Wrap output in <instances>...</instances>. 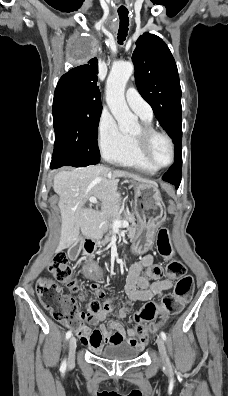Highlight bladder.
Instances as JSON below:
<instances>
[{
  "label": "bladder",
  "instance_id": "bladder-1",
  "mask_svg": "<svg viewBox=\"0 0 228 396\" xmlns=\"http://www.w3.org/2000/svg\"><path fill=\"white\" fill-rule=\"evenodd\" d=\"M141 349L129 342L110 343L96 352V355L113 361H129L136 359Z\"/></svg>",
  "mask_w": 228,
  "mask_h": 396
}]
</instances>
